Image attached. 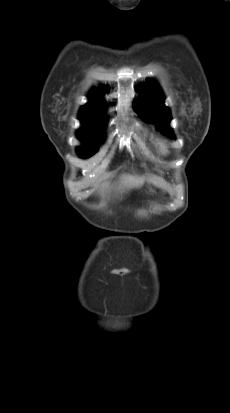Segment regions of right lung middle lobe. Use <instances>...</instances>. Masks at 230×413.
Instances as JSON below:
<instances>
[{"instance_id":"1","label":"right lung middle lobe","mask_w":230,"mask_h":413,"mask_svg":"<svg viewBox=\"0 0 230 413\" xmlns=\"http://www.w3.org/2000/svg\"><path fill=\"white\" fill-rule=\"evenodd\" d=\"M105 122L99 123L95 126L80 129L77 136L86 144L78 148V154L81 158H88L98 151V141H101L104 132ZM88 142V143H87ZM97 142V143H93Z\"/></svg>"}]
</instances>
